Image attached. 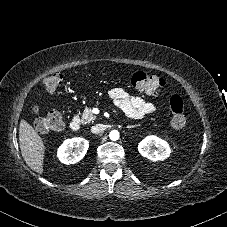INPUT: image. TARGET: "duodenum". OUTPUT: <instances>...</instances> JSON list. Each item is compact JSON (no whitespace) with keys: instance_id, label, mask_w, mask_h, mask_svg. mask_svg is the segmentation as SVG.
Wrapping results in <instances>:
<instances>
[{"instance_id":"410a0bca","label":"duodenum","mask_w":227,"mask_h":227,"mask_svg":"<svg viewBox=\"0 0 227 227\" xmlns=\"http://www.w3.org/2000/svg\"><path fill=\"white\" fill-rule=\"evenodd\" d=\"M81 127V122L80 119L78 118H73L70 122H69V128L72 131H78Z\"/></svg>"}]
</instances>
